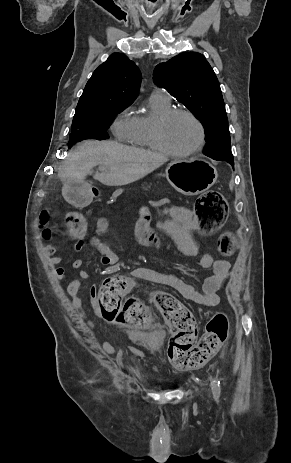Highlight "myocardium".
<instances>
[{
    "instance_id": "1",
    "label": "myocardium",
    "mask_w": 291,
    "mask_h": 463,
    "mask_svg": "<svg viewBox=\"0 0 291 463\" xmlns=\"http://www.w3.org/2000/svg\"><path fill=\"white\" fill-rule=\"evenodd\" d=\"M187 116L195 122L199 129V140L195 146L185 151H175L169 147L163 139V128L164 126L176 116ZM206 140V130L202 121L191 111L181 108H173L159 115L152 124V141L155 148L171 157L184 158L189 157L197 152H199Z\"/></svg>"
}]
</instances>
